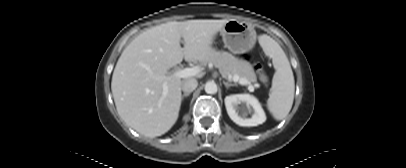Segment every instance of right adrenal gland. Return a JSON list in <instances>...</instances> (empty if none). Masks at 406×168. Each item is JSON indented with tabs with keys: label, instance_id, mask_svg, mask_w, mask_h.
Masks as SVG:
<instances>
[{
	"label": "right adrenal gland",
	"instance_id": "1",
	"mask_svg": "<svg viewBox=\"0 0 406 168\" xmlns=\"http://www.w3.org/2000/svg\"><path fill=\"white\" fill-rule=\"evenodd\" d=\"M190 95V93H184L181 97V100H183L185 97H188Z\"/></svg>",
	"mask_w": 406,
	"mask_h": 168
}]
</instances>
